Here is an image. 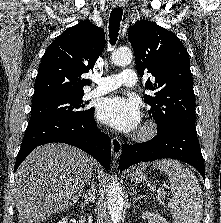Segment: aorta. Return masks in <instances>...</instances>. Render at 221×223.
I'll list each match as a JSON object with an SVG mask.
<instances>
[{"label":"aorta","mask_w":221,"mask_h":223,"mask_svg":"<svg viewBox=\"0 0 221 223\" xmlns=\"http://www.w3.org/2000/svg\"><path fill=\"white\" fill-rule=\"evenodd\" d=\"M132 59L133 53L127 48L115 50L111 55L112 62L117 66L127 65ZM107 205L111 221L113 223H118L122 217L123 193L119 183L114 178L108 186Z\"/></svg>","instance_id":"aorta-1"}]
</instances>
